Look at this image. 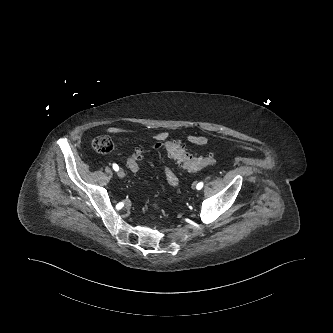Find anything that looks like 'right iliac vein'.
I'll return each mask as SVG.
<instances>
[{"mask_svg":"<svg viewBox=\"0 0 333 333\" xmlns=\"http://www.w3.org/2000/svg\"><path fill=\"white\" fill-rule=\"evenodd\" d=\"M117 175H118L120 178H124V177H125V173H124L123 169H119V170L117 171Z\"/></svg>","mask_w":333,"mask_h":333,"instance_id":"obj_1","label":"right iliac vein"}]
</instances>
